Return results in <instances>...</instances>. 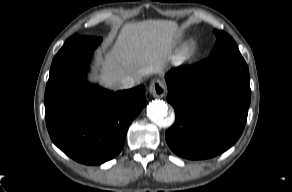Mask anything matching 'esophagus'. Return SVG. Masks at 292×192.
<instances>
[{
  "instance_id": "1",
  "label": "esophagus",
  "mask_w": 292,
  "mask_h": 192,
  "mask_svg": "<svg viewBox=\"0 0 292 192\" xmlns=\"http://www.w3.org/2000/svg\"><path fill=\"white\" fill-rule=\"evenodd\" d=\"M149 92L153 97H163L166 93V86L163 81L153 80L149 85Z\"/></svg>"
}]
</instances>
